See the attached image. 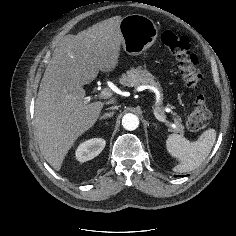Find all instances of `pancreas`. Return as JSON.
Segmentation results:
<instances>
[{"mask_svg":"<svg viewBox=\"0 0 236 236\" xmlns=\"http://www.w3.org/2000/svg\"><path fill=\"white\" fill-rule=\"evenodd\" d=\"M120 83L123 86H128V87L137 88L141 85H150V86L160 89V84L154 80L153 75L147 72L146 70H142L141 68L131 69L130 71H128L127 74H124L120 78ZM155 110L158 113L163 114L164 107L162 106V100H160V102L157 104ZM175 123H176L175 128H172L171 130L173 132L183 134L184 127L181 124V119L177 118L175 120Z\"/></svg>","mask_w":236,"mask_h":236,"instance_id":"pancreas-1","label":"pancreas"}]
</instances>
